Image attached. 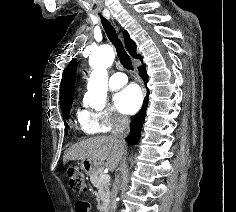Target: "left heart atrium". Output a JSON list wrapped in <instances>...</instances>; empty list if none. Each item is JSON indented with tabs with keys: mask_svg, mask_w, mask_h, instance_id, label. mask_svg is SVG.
I'll list each match as a JSON object with an SVG mask.
<instances>
[{
	"mask_svg": "<svg viewBox=\"0 0 236 212\" xmlns=\"http://www.w3.org/2000/svg\"><path fill=\"white\" fill-rule=\"evenodd\" d=\"M142 99L140 88L135 84H131L115 95L114 103L121 113L131 115L140 108Z\"/></svg>",
	"mask_w": 236,
	"mask_h": 212,
	"instance_id": "obj_1",
	"label": "left heart atrium"
}]
</instances>
